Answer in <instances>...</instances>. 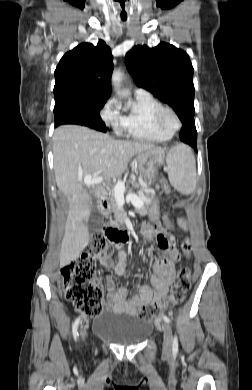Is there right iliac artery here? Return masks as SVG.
Masks as SVG:
<instances>
[{
    "label": "right iliac artery",
    "mask_w": 252,
    "mask_h": 390,
    "mask_svg": "<svg viewBox=\"0 0 252 390\" xmlns=\"http://www.w3.org/2000/svg\"><path fill=\"white\" fill-rule=\"evenodd\" d=\"M79 322H80V318H77L75 320V322L73 323V326H72V332H73V336H74L75 340H77V337H78V325H79Z\"/></svg>",
    "instance_id": "right-iliac-artery-1"
}]
</instances>
